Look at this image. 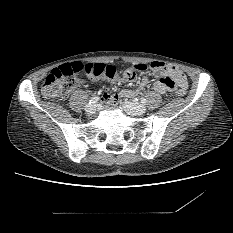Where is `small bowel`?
<instances>
[{
  "instance_id": "obj_1",
  "label": "small bowel",
  "mask_w": 233,
  "mask_h": 233,
  "mask_svg": "<svg viewBox=\"0 0 233 233\" xmlns=\"http://www.w3.org/2000/svg\"><path fill=\"white\" fill-rule=\"evenodd\" d=\"M139 65V64H136ZM154 71L164 75L166 80L160 79L154 85V90L160 94L167 92L173 93L177 88L187 87V79L184 73L177 67L169 64H164L161 62L153 63ZM111 81H119L122 78L116 74L111 79ZM150 80V76H144L139 82V88L144 89ZM138 94V90L122 89L119 92H114L111 94H105L104 100L108 103H115L122 98H133Z\"/></svg>"
}]
</instances>
